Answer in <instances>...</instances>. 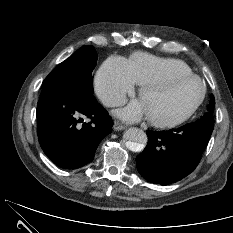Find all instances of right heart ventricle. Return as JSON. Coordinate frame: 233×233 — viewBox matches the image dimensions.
<instances>
[{
	"mask_svg": "<svg viewBox=\"0 0 233 233\" xmlns=\"http://www.w3.org/2000/svg\"><path fill=\"white\" fill-rule=\"evenodd\" d=\"M129 74L135 85L162 77L192 73L182 60L163 58L148 53L137 52L125 60Z\"/></svg>",
	"mask_w": 233,
	"mask_h": 233,
	"instance_id": "right-heart-ventricle-1",
	"label": "right heart ventricle"
}]
</instances>
